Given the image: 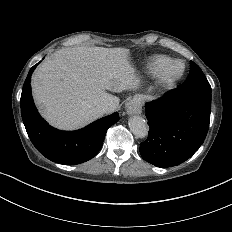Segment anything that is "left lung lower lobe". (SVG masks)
I'll return each instance as SVG.
<instances>
[{
  "mask_svg": "<svg viewBox=\"0 0 232 232\" xmlns=\"http://www.w3.org/2000/svg\"><path fill=\"white\" fill-rule=\"evenodd\" d=\"M150 130L140 144L142 158L160 168L177 166L203 144L210 123L211 104L183 95L176 88L145 104Z\"/></svg>",
  "mask_w": 232,
  "mask_h": 232,
  "instance_id": "obj_1",
  "label": "left lung lower lobe"
}]
</instances>
